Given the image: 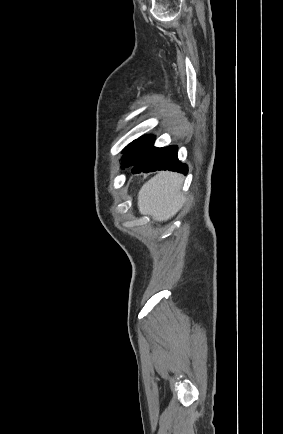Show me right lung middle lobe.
Listing matches in <instances>:
<instances>
[{
	"instance_id": "1",
	"label": "right lung middle lobe",
	"mask_w": 283,
	"mask_h": 434,
	"mask_svg": "<svg viewBox=\"0 0 283 434\" xmlns=\"http://www.w3.org/2000/svg\"><path fill=\"white\" fill-rule=\"evenodd\" d=\"M155 137L145 136L129 144L124 150L122 167L134 165L153 146Z\"/></svg>"
}]
</instances>
